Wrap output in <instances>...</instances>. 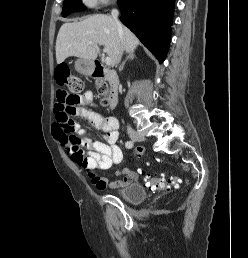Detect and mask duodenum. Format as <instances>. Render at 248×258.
<instances>
[{"label":"duodenum","instance_id":"410a0bca","mask_svg":"<svg viewBox=\"0 0 248 258\" xmlns=\"http://www.w3.org/2000/svg\"><path fill=\"white\" fill-rule=\"evenodd\" d=\"M92 76L94 79H104L110 84L109 107L115 109L118 103L119 80L115 71L104 69L99 60L93 62Z\"/></svg>","mask_w":248,"mask_h":258}]
</instances>
